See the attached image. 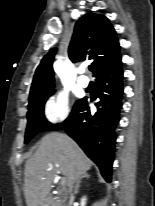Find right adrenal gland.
Returning a JSON list of instances; mask_svg holds the SVG:
<instances>
[{
  "label": "right adrenal gland",
  "mask_w": 155,
  "mask_h": 206,
  "mask_svg": "<svg viewBox=\"0 0 155 206\" xmlns=\"http://www.w3.org/2000/svg\"><path fill=\"white\" fill-rule=\"evenodd\" d=\"M88 178H90V175L88 173H84L83 175L80 176V178L78 179L77 184L75 186L74 194L78 193L82 179H88Z\"/></svg>",
  "instance_id": "right-adrenal-gland-1"
}]
</instances>
